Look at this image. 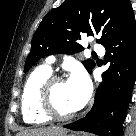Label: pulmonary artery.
I'll return each instance as SVG.
<instances>
[{
  "instance_id": "pulmonary-artery-1",
  "label": "pulmonary artery",
  "mask_w": 136,
  "mask_h": 136,
  "mask_svg": "<svg viewBox=\"0 0 136 136\" xmlns=\"http://www.w3.org/2000/svg\"><path fill=\"white\" fill-rule=\"evenodd\" d=\"M94 51L97 52L98 54H103L105 50H104V47L101 44L96 43L94 45ZM53 62H54V58L53 57H49L48 61H47V63H48L47 66L50 67V64L53 63Z\"/></svg>"
}]
</instances>
